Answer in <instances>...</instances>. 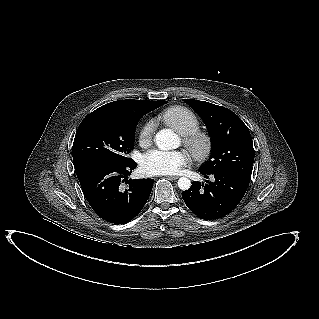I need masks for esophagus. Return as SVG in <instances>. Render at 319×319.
Wrapping results in <instances>:
<instances>
[{"label":"esophagus","instance_id":"obj_1","mask_svg":"<svg viewBox=\"0 0 319 319\" xmlns=\"http://www.w3.org/2000/svg\"><path fill=\"white\" fill-rule=\"evenodd\" d=\"M168 179L170 180H176L178 179L179 177L178 176H167Z\"/></svg>","mask_w":319,"mask_h":319}]
</instances>
